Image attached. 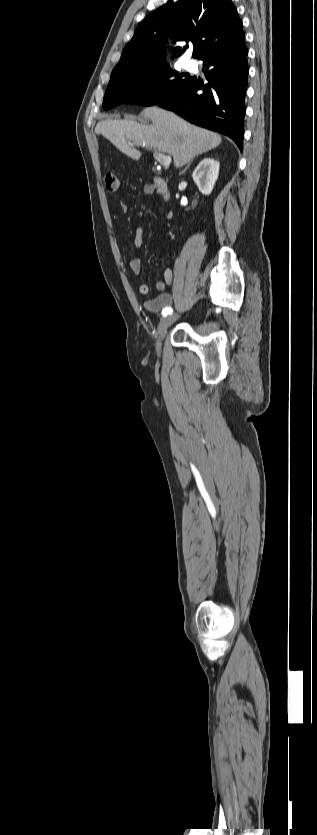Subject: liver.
I'll list each match as a JSON object with an SVG mask.
<instances>
[{
	"label": "liver",
	"mask_w": 317,
	"mask_h": 835,
	"mask_svg": "<svg viewBox=\"0 0 317 835\" xmlns=\"http://www.w3.org/2000/svg\"><path fill=\"white\" fill-rule=\"evenodd\" d=\"M141 116L152 123L146 125L133 119H106L97 123L95 133L104 136L118 150L135 160L141 157V153L133 148L131 141L138 146L168 153L173 157L176 168L216 148L222 141L219 134L155 106L145 108Z\"/></svg>",
	"instance_id": "liver-1"
}]
</instances>
